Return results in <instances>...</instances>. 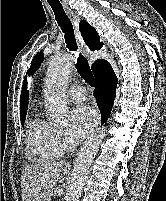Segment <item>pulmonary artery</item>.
Returning <instances> with one entry per match:
<instances>
[{
	"label": "pulmonary artery",
	"instance_id": "1",
	"mask_svg": "<svg viewBox=\"0 0 166 201\" xmlns=\"http://www.w3.org/2000/svg\"><path fill=\"white\" fill-rule=\"evenodd\" d=\"M68 97L71 101L82 102L87 97V91L82 86H73L68 91Z\"/></svg>",
	"mask_w": 166,
	"mask_h": 201
}]
</instances>
